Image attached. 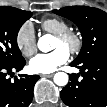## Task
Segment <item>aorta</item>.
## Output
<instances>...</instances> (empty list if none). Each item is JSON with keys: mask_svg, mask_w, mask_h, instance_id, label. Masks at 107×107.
Segmentation results:
<instances>
[{"mask_svg": "<svg viewBox=\"0 0 107 107\" xmlns=\"http://www.w3.org/2000/svg\"><path fill=\"white\" fill-rule=\"evenodd\" d=\"M37 46L42 52H49L53 49V37L46 34L39 38ZM54 83L58 86H65L68 83L69 77L64 72H58L54 75Z\"/></svg>", "mask_w": 107, "mask_h": 107, "instance_id": "aorta-1", "label": "aorta"}]
</instances>
